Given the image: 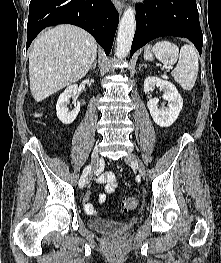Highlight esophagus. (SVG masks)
<instances>
[{
  "label": "esophagus",
  "instance_id": "34e87169",
  "mask_svg": "<svg viewBox=\"0 0 221 263\" xmlns=\"http://www.w3.org/2000/svg\"><path fill=\"white\" fill-rule=\"evenodd\" d=\"M113 4L117 11L121 14L124 8V4L120 0H113Z\"/></svg>",
  "mask_w": 221,
  "mask_h": 263
}]
</instances>
